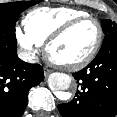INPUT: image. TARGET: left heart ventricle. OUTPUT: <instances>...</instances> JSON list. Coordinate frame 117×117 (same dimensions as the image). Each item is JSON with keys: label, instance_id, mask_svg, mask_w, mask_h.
Listing matches in <instances>:
<instances>
[{"label": "left heart ventricle", "instance_id": "obj_1", "mask_svg": "<svg viewBox=\"0 0 117 117\" xmlns=\"http://www.w3.org/2000/svg\"><path fill=\"white\" fill-rule=\"evenodd\" d=\"M97 39V27L85 21L74 27L50 49L51 57L62 63H72L85 58L93 49Z\"/></svg>", "mask_w": 117, "mask_h": 117}]
</instances>
